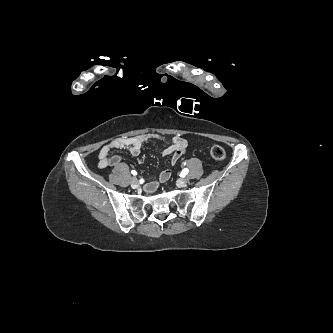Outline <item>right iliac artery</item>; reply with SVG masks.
<instances>
[{"instance_id": "1", "label": "right iliac artery", "mask_w": 333, "mask_h": 333, "mask_svg": "<svg viewBox=\"0 0 333 333\" xmlns=\"http://www.w3.org/2000/svg\"><path fill=\"white\" fill-rule=\"evenodd\" d=\"M131 173H132L133 175H137V172H136L135 170H132Z\"/></svg>"}]
</instances>
